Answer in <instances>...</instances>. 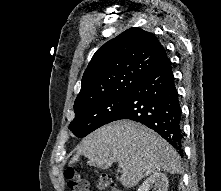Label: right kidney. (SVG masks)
<instances>
[{"mask_svg":"<svg viewBox=\"0 0 221 191\" xmlns=\"http://www.w3.org/2000/svg\"><path fill=\"white\" fill-rule=\"evenodd\" d=\"M168 178L164 173L156 172L148 177L137 191H149L153 188L154 191H168Z\"/></svg>","mask_w":221,"mask_h":191,"instance_id":"1","label":"right kidney"}]
</instances>
